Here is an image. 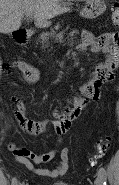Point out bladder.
Masks as SVG:
<instances>
[{
    "mask_svg": "<svg viewBox=\"0 0 119 185\" xmlns=\"http://www.w3.org/2000/svg\"><path fill=\"white\" fill-rule=\"evenodd\" d=\"M54 185H70V184H68L66 182H58V183H55Z\"/></svg>",
    "mask_w": 119,
    "mask_h": 185,
    "instance_id": "obj_1",
    "label": "bladder"
}]
</instances>
